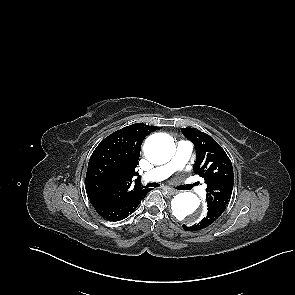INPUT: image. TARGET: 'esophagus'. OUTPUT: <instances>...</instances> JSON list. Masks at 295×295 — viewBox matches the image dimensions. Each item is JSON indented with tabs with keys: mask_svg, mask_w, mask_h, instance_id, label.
Instances as JSON below:
<instances>
[{
	"mask_svg": "<svg viewBox=\"0 0 295 295\" xmlns=\"http://www.w3.org/2000/svg\"><path fill=\"white\" fill-rule=\"evenodd\" d=\"M165 191L168 195H175L177 193L176 190H172V189H169V188H165Z\"/></svg>",
	"mask_w": 295,
	"mask_h": 295,
	"instance_id": "34e87169",
	"label": "esophagus"
}]
</instances>
